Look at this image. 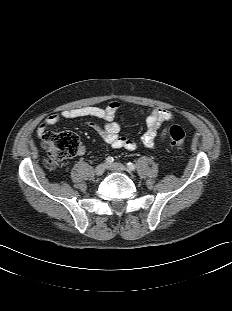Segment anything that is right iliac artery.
<instances>
[{
  "instance_id": "right-iliac-artery-1",
  "label": "right iliac artery",
  "mask_w": 232,
  "mask_h": 311,
  "mask_svg": "<svg viewBox=\"0 0 232 311\" xmlns=\"http://www.w3.org/2000/svg\"><path fill=\"white\" fill-rule=\"evenodd\" d=\"M113 161H114L113 157L109 156V157L106 158V163L107 164H111V163H113Z\"/></svg>"
}]
</instances>
